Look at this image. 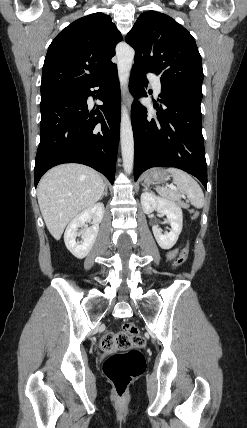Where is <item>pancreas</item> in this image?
I'll list each match as a JSON object with an SVG mask.
<instances>
[{"instance_id": "pancreas-1", "label": "pancreas", "mask_w": 247, "mask_h": 428, "mask_svg": "<svg viewBox=\"0 0 247 428\" xmlns=\"http://www.w3.org/2000/svg\"><path fill=\"white\" fill-rule=\"evenodd\" d=\"M178 204H179L181 207L185 208V209L189 208V205H188V204H186V203L178 202Z\"/></svg>"}]
</instances>
